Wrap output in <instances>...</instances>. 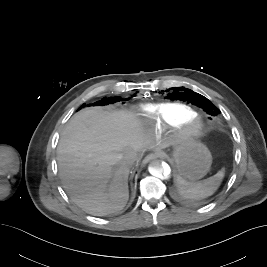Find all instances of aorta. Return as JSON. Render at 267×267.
Here are the masks:
<instances>
[{
  "label": "aorta",
  "instance_id": "obj_1",
  "mask_svg": "<svg viewBox=\"0 0 267 267\" xmlns=\"http://www.w3.org/2000/svg\"><path fill=\"white\" fill-rule=\"evenodd\" d=\"M148 171L152 176L156 178L168 179L171 173V168L166 162L160 159H156L150 162Z\"/></svg>",
  "mask_w": 267,
  "mask_h": 267
}]
</instances>
